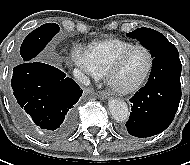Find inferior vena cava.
<instances>
[{
  "instance_id": "inferior-vena-cava-1",
  "label": "inferior vena cava",
  "mask_w": 190,
  "mask_h": 165,
  "mask_svg": "<svg viewBox=\"0 0 190 165\" xmlns=\"http://www.w3.org/2000/svg\"><path fill=\"white\" fill-rule=\"evenodd\" d=\"M73 75H74V77H75L78 81H80V82L83 83L84 85L88 86V85L90 84L89 78H88L84 73H82L80 70L74 69Z\"/></svg>"
}]
</instances>
